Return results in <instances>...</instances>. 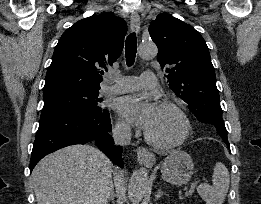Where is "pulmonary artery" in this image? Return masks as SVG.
<instances>
[{
  "label": "pulmonary artery",
  "instance_id": "e3ab8cb5",
  "mask_svg": "<svg viewBox=\"0 0 261 204\" xmlns=\"http://www.w3.org/2000/svg\"><path fill=\"white\" fill-rule=\"evenodd\" d=\"M112 84L102 87L103 94H120L137 90L141 87L153 88L157 84L155 72L147 70L139 77L136 76H109Z\"/></svg>",
  "mask_w": 261,
  "mask_h": 204
}]
</instances>
